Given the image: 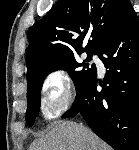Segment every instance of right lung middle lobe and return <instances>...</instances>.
I'll return each instance as SVG.
<instances>
[{
  "label": "right lung middle lobe",
  "mask_w": 139,
  "mask_h": 150,
  "mask_svg": "<svg viewBox=\"0 0 139 150\" xmlns=\"http://www.w3.org/2000/svg\"><path fill=\"white\" fill-rule=\"evenodd\" d=\"M78 54H81L78 53ZM88 56L86 61H90L93 54L96 52H87ZM79 64L74 58V55L59 58L53 60L37 71H35L30 77L27 78L28 86H27V101L28 108L26 112V122L29 126H32L35 118L38 116L40 109V92L42 88L43 81L45 77L56 70H65L69 71V75L72 78L75 87L77 88L82 83H84L95 71V64H92L91 68H89V64L86 63ZM82 70H78L79 67L83 66ZM86 68V69H85Z\"/></svg>",
  "instance_id": "right-lung-middle-lobe-1"
}]
</instances>
